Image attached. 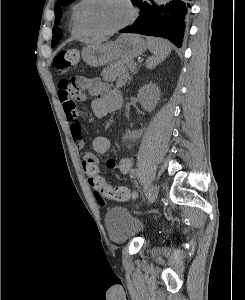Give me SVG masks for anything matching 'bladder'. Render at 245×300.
<instances>
[{
	"label": "bladder",
	"mask_w": 245,
	"mask_h": 300,
	"mask_svg": "<svg viewBox=\"0 0 245 300\" xmlns=\"http://www.w3.org/2000/svg\"><path fill=\"white\" fill-rule=\"evenodd\" d=\"M107 234L111 241L123 243L144 231L143 223L127 209H110L105 217Z\"/></svg>",
	"instance_id": "31cf9c89"
}]
</instances>
